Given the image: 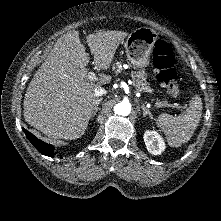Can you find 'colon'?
<instances>
[{"label":"colon","mask_w":221,"mask_h":221,"mask_svg":"<svg viewBox=\"0 0 221 221\" xmlns=\"http://www.w3.org/2000/svg\"><path fill=\"white\" fill-rule=\"evenodd\" d=\"M152 56L157 79L167 88L171 97H178L180 88L176 79V71L174 68L175 60L171 45L165 39L156 40Z\"/></svg>","instance_id":"colon-1"}]
</instances>
